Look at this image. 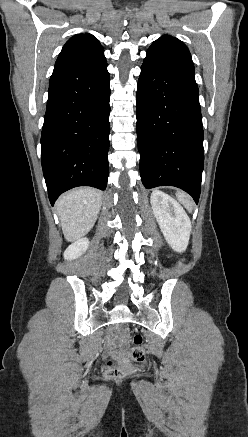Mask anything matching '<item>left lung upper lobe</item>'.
<instances>
[{"mask_svg":"<svg viewBox=\"0 0 248 437\" xmlns=\"http://www.w3.org/2000/svg\"><path fill=\"white\" fill-rule=\"evenodd\" d=\"M143 64L195 77L193 61L187 46L179 39L168 35L160 37L149 47Z\"/></svg>","mask_w":248,"mask_h":437,"instance_id":"left-lung-upper-lobe-1","label":"left lung upper lobe"}]
</instances>
